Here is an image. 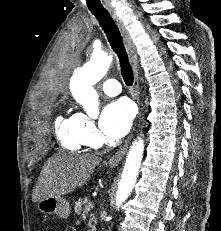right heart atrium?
Masks as SVG:
<instances>
[{
	"label": "right heart atrium",
	"instance_id": "right-heart-atrium-1",
	"mask_svg": "<svg viewBox=\"0 0 221 231\" xmlns=\"http://www.w3.org/2000/svg\"><path fill=\"white\" fill-rule=\"evenodd\" d=\"M77 117L79 119L81 137L84 143L90 146L94 145L99 139V134L93 121L83 113H77Z\"/></svg>",
	"mask_w": 221,
	"mask_h": 231
}]
</instances>
